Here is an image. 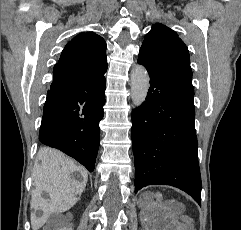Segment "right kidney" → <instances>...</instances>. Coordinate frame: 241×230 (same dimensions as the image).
<instances>
[{"label": "right kidney", "mask_w": 241, "mask_h": 230, "mask_svg": "<svg viewBox=\"0 0 241 230\" xmlns=\"http://www.w3.org/2000/svg\"><path fill=\"white\" fill-rule=\"evenodd\" d=\"M36 195H38V190H36V191L34 192V196H36Z\"/></svg>", "instance_id": "obj_1"}]
</instances>
